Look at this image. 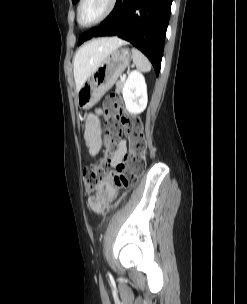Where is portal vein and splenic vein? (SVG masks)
Instances as JSON below:
<instances>
[{"mask_svg": "<svg viewBox=\"0 0 247 304\" xmlns=\"http://www.w3.org/2000/svg\"><path fill=\"white\" fill-rule=\"evenodd\" d=\"M125 78H126V75H123V76L121 77V80H125Z\"/></svg>", "mask_w": 247, "mask_h": 304, "instance_id": "18ae733b", "label": "portal vein and splenic vein"}]
</instances>
